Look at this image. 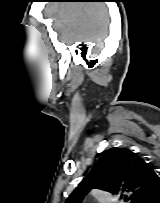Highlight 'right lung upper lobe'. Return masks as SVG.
Returning <instances> with one entry per match:
<instances>
[{
    "label": "right lung upper lobe",
    "mask_w": 160,
    "mask_h": 203,
    "mask_svg": "<svg viewBox=\"0 0 160 203\" xmlns=\"http://www.w3.org/2000/svg\"><path fill=\"white\" fill-rule=\"evenodd\" d=\"M91 188H99L121 198L129 194L132 203H149L160 194V177L136 153L115 147L101 156L65 203H81Z\"/></svg>",
    "instance_id": "right-lung-upper-lobe-1"
}]
</instances>
